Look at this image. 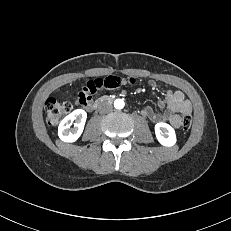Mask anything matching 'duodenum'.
<instances>
[{
	"label": "duodenum",
	"mask_w": 231,
	"mask_h": 231,
	"mask_svg": "<svg viewBox=\"0 0 231 231\" xmlns=\"http://www.w3.org/2000/svg\"><path fill=\"white\" fill-rule=\"evenodd\" d=\"M110 100L108 96H102L98 98L91 106L92 109H96L98 106H100L103 103H106Z\"/></svg>",
	"instance_id": "1"
}]
</instances>
